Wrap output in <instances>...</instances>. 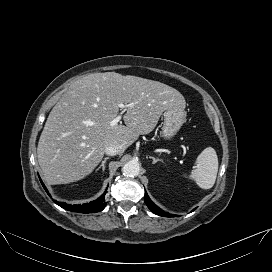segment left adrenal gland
I'll return each mask as SVG.
<instances>
[{"label": "left adrenal gland", "mask_w": 272, "mask_h": 272, "mask_svg": "<svg viewBox=\"0 0 272 272\" xmlns=\"http://www.w3.org/2000/svg\"><path fill=\"white\" fill-rule=\"evenodd\" d=\"M148 157L153 160V162H152L153 164H155L158 161H161V159H159V158H155V157H152V156H147V158Z\"/></svg>", "instance_id": "obj_1"}]
</instances>
